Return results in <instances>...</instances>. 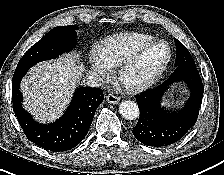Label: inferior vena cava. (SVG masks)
<instances>
[{
  "mask_svg": "<svg viewBox=\"0 0 224 175\" xmlns=\"http://www.w3.org/2000/svg\"><path fill=\"white\" fill-rule=\"evenodd\" d=\"M83 83L90 87H100L103 85V79L95 72H89L83 78Z\"/></svg>",
  "mask_w": 224,
  "mask_h": 175,
  "instance_id": "1",
  "label": "inferior vena cava"
}]
</instances>
